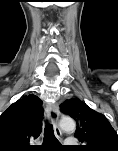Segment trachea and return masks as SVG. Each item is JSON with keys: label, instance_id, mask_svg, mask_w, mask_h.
Returning <instances> with one entry per match:
<instances>
[{"label": "trachea", "instance_id": "3493384b", "mask_svg": "<svg viewBox=\"0 0 118 151\" xmlns=\"http://www.w3.org/2000/svg\"><path fill=\"white\" fill-rule=\"evenodd\" d=\"M43 142L44 144H49V143L53 145L58 144V140L54 135L53 126L49 122H46V126L44 128Z\"/></svg>", "mask_w": 118, "mask_h": 151}]
</instances>
